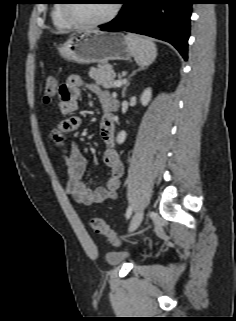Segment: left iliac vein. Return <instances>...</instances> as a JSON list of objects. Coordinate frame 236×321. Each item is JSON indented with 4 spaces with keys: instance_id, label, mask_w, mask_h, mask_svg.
Listing matches in <instances>:
<instances>
[{
    "instance_id": "1",
    "label": "left iliac vein",
    "mask_w": 236,
    "mask_h": 321,
    "mask_svg": "<svg viewBox=\"0 0 236 321\" xmlns=\"http://www.w3.org/2000/svg\"><path fill=\"white\" fill-rule=\"evenodd\" d=\"M143 216H144L143 209H139L136 211V213L134 214V216L131 219V222L129 225V232H132L138 228V226L140 225V223L143 219Z\"/></svg>"
}]
</instances>
